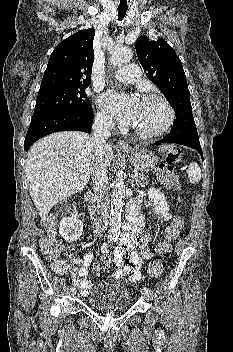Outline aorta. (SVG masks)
<instances>
[{"label":"aorta","mask_w":233,"mask_h":352,"mask_svg":"<svg viewBox=\"0 0 233 352\" xmlns=\"http://www.w3.org/2000/svg\"><path fill=\"white\" fill-rule=\"evenodd\" d=\"M111 63L114 66H122L128 63L132 58V51L127 47H117L111 51ZM125 197V177L122 172L116 174L113 183L109 239L114 241L119 237L121 228V213Z\"/></svg>","instance_id":"obj_1"}]
</instances>
